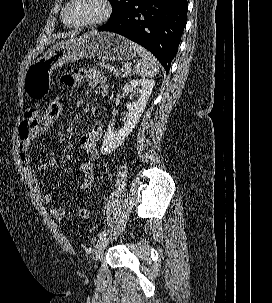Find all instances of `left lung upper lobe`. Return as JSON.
<instances>
[{"instance_id":"1","label":"left lung upper lobe","mask_w":272,"mask_h":303,"mask_svg":"<svg viewBox=\"0 0 272 303\" xmlns=\"http://www.w3.org/2000/svg\"><path fill=\"white\" fill-rule=\"evenodd\" d=\"M110 1L114 7V10L109 21L123 15L138 0H110Z\"/></svg>"}]
</instances>
